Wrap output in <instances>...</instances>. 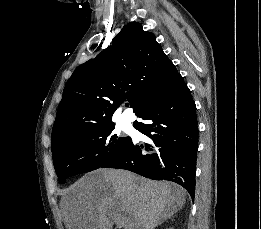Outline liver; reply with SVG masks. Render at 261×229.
<instances>
[{"label": "liver", "instance_id": "6515ba94", "mask_svg": "<svg viewBox=\"0 0 261 229\" xmlns=\"http://www.w3.org/2000/svg\"><path fill=\"white\" fill-rule=\"evenodd\" d=\"M68 229H155L185 205L186 191L171 181H150L122 169H97L61 199Z\"/></svg>", "mask_w": 261, "mask_h": 229}]
</instances>
